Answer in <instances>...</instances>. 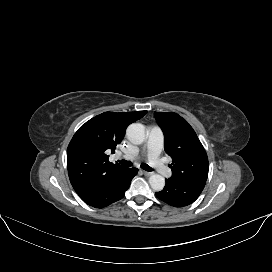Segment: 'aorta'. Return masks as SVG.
<instances>
[{"label":"aorta","mask_w":272,"mask_h":272,"mask_svg":"<svg viewBox=\"0 0 272 272\" xmlns=\"http://www.w3.org/2000/svg\"><path fill=\"white\" fill-rule=\"evenodd\" d=\"M126 136L131 143L139 145L145 140L144 127L139 123H133L128 126ZM149 184L153 190L161 191L165 186V178L159 174H152Z\"/></svg>","instance_id":"aorta-1"}]
</instances>
